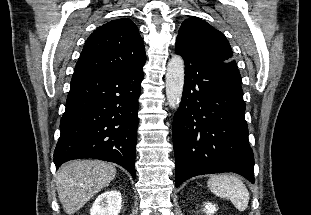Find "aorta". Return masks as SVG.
<instances>
[{"label":"aorta","mask_w":311,"mask_h":215,"mask_svg":"<svg viewBox=\"0 0 311 215\" xmlns=\"http://www.w3.org/2000/svg\"><path fill=\"white\" fill-rule=\"evenodd\" d=\"M184 72L185 66L182 57L174 55L168 62L166 73V97L172 109L178 107L182 98Z\"/></svg>","instance_id":"aorta-1"}]
</instances>
